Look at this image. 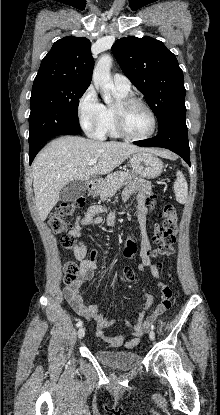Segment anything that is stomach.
Masks as SVG:
<instances>
[{"label":"stomach","mask_w":220,"mask_h":415,"mask_svg":"<svg viewBox=\"0 0 220 415\" xmlns=\"http://www.w3.org/2000/svg\"><path fill=\"white\" fill-rule=\"evenodd\" d=\"M130 166L132 170L147 179L158 177L163 171L162 161L154 154L148 151H142L132 154L130 157ZM100 192V184L92 185L90 193L94 196Z\"/></svg>","instance_id":"0dacf381"}]
</instances>
